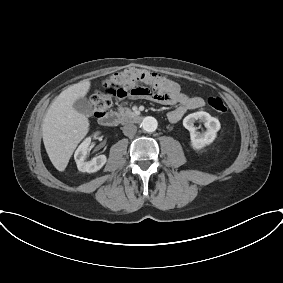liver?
<instances>
[{
    "label": "liver",
    "instance_id": "liver-1",
    "mask_svg": "<svg viewBox=\"0 0 283 283\" xmlns=\"http://www.w3.org/2000/svg\"><path fill=\"white\" fill-rule=\"evenodd\" d=\"M91 83L80 81L60 93L49 107L42 124V136L50 161L64 171L80 141L89 131L88 118L77 112L73 104L84 97Z\"/></svg>",
    "mask_w": 283,
    "mask_h": 283
}]
</instances>
